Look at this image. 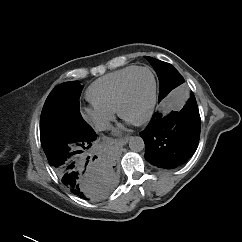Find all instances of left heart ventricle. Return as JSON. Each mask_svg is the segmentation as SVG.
<instances>
[{"label":"left heart ventricle","instance_id":"1","mask_svg":"<svg viewBox=\"0 0 242 242\" xmlns=\"http://www.w3.org/2000/svg\"><path fill=\"white\" fill-rule=\"evenodd\" d=\"M153 81L146 71L136 73L130 81L126 100L122 107L128 121H136L146 113L152 95Z\"/></svg>","mask_w":242,"mask_h":242}]
</instances>
